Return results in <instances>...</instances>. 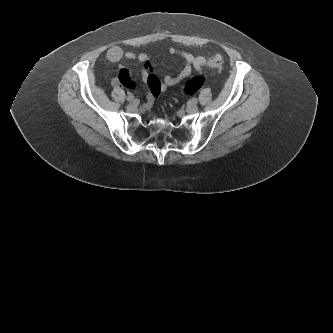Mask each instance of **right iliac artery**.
I'll list each match as a JSON object with an SVG mask.
<instances>
[{
	"instance_id": "82829eb1",
	"label": "right iliac artery",
	"mask_w": 333,
	"mask_h": 333,
	"mask_svg": "<svg viewBox=\"0 0 333 333\" xmlns=\"http://www.w3.org/2000/svg\"><path fill=\"white\" fill-rule=\"evenodd\" d=\"M127 100H128L129 102H137V101H138L137 99H134V97H133L132 95H128V96H127Z\"/></svg>"
}]
</instances>
